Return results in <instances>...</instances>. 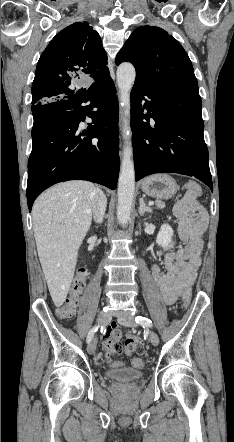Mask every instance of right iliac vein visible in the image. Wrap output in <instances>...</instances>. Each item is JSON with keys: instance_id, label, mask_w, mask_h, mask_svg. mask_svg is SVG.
<instances>
[{"instance_id": "1", "label": "right iliac vein", "mask_w": 234, "mask_h": 442, "mask_svg": "<svg viewBox=\"0 0 234 442\" xmlns=\"http://www.w3.org/2000/svg\"><path fill=\"white\" fill-rule=\"evenodd\" d=\"M109 320H110V316L107 312L102 311L99 313L98 321H99L100 325L105 326L109 322ZM96 345H97V341L95 338L89 342V344L87 346V351L89 354H93L95 352Z\"/></svg>"}]
</instances>
